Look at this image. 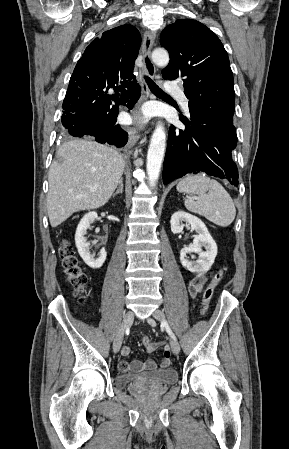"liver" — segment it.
<instances>
[{
  "instance_id": "obj_1",
  "label": "liver",
  "mask_w": 289,
  "mask_h": 449,
  "mask_svg": "<svg viewBox=\"0 0 289 449\" xmlns=\"http://www.w3.org/2000/svg\"><path fill=\"white\" fill-rule=\"evenodd\" d=\"M122 155L91 140H71L61 145L49 169L47 211L52 227L73 213L105 205L121 180Z\"/></svg>"
}]
</instances>
